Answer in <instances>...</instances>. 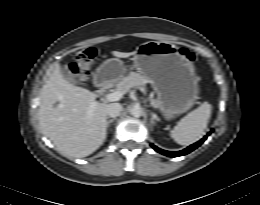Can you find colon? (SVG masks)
I'll return each instance as SVG.
<instances>
[{"label":"colon","mask_w":260,"mask_h":205,"mask_svg":"<svg viewBox=\"0 0 260 205\" xmlns=\"http://www.w3.org/2000/svg\"><path fill=\"white\" fill-rule=\"evenodd\" d=\"M182 53L189 59L193 60V55L183 50ZM97 56V49L94 46H89L78 50L73 55V63L70 65L72 75L80 82L84 81L90 70V66Z\"/></svg>","instance_id":"1"}]
</instances>
